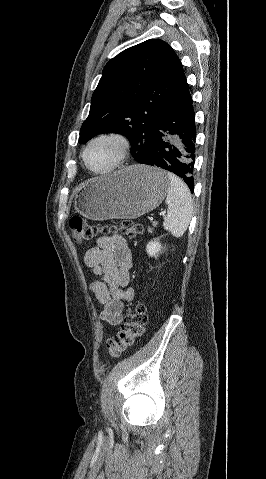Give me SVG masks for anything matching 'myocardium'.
I'll return each instance as SVG.
<instances>
[{
  "mask_svg": "<svg viewBox=\"0 0 266 479\" xmlns=\"http://www.w3.org/2000/svg\"><path fill=\"white\" fill-rule=\"evenodd\" d=\"M101 141H112L118 146V154L113 165L105 170H97L90 166L88 162V152L96 144ZM130 149L129 139L120 133L117 132H105L93 137L86 145L83 151V162L88 170L97 175H107L112 172H115L120 168L126 159Z\"/></svg>",
  "mask_w": 266,
  "mask_h": 479,
  "instance_id": "obj_1",
  "label": "myocardium"
}]
</instances>
